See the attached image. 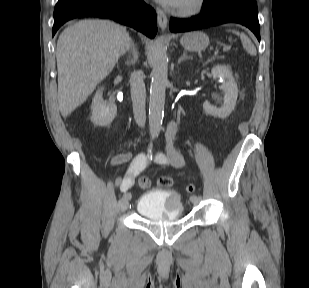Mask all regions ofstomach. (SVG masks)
I'll use <instances>...</instances> for the list:
<instances>
[{
  "label": "stomach",
  "mask_w": 309,
  "mask_h": 288,
  "mask_svg": "<svg viewBox=\"0 0 309 288\" xmlns=\"http://www.w3.org/2000/svg\"><path fill=\"white\" fill-rule=\"evenodd\" d=\"M180 43L186 50L201 51L209 45V38L202 32L194 31L184 34Z\"/></svg>",
  "instance_id": "obj_1"
}]
</instances>
